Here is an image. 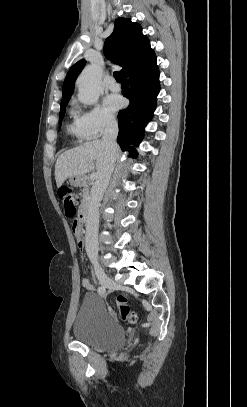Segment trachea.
Instances as JSON below:
<instances>
[{
	"label": "trachea",
	"instance_id": "1",
	"mask_svg": "<svg viewBox=\"0 0 247 407\" xmlns=\"http://www.w3.org/2000/svg\"><path fill=\"white\" fill-rule=\"evenodd\" d=\"M113 76H114V78L116 79L117 82L121 81V75H120V73L118 71H115L113 73Z\"/></svg>",
	"mask_w": 247,
	"mask_h": 407
}]
</instances>
